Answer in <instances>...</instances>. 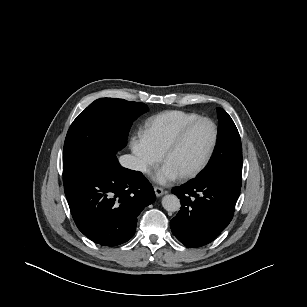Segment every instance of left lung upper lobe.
Masks as SVG:
<instances>
[{
	"instance_id": "obj_1",
	"label": "left lung upper lobe",
	"mask_w": 307,
	"mask_h": 307,
	"mask_svg": "<svg viewBox=\"0 0 307 307\" xmlns=\"http://www.w3.org/2000/svg\"><path fill=\"white\" fill-rule=\"evenodd\" d=\"M218 139L215 153L201 177L221 176L241 187L242 146L239 132L227 112L218 108Z\"/></svg>"
}]
</instances>
